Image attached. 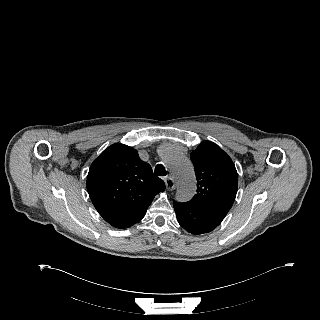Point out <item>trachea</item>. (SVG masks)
<instances>
[{"mask_svg":"<svg viewBox=\"0 0 320 320\" xmlns=\"http://www.w3.org/2000/svg\"><path fill=\"white\" fill-rule=\"evenodd\" d=\"M167 173H166V170L164 168V166L162 164H158L156 167H155V175L156 176H165Z\"/></svg>","mask_w":320,"mask_h":320,"instance_id":"obj_1","label":"trachea"}]
</instances>
